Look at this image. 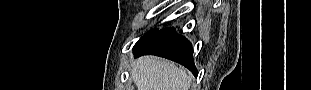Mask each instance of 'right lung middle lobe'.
Wrapping results in <instances>:
<instances>
[{"label": "right lung middle lobe", "mask_w": 311, "mask_h": 90, "mask_svg": "<svg viewBox=\"0 0 311 90\" xmlns=\"http://www.w3.org/2000/svg\"><path fill=\"white\" fill-rule=\"evenodd\" d=\"M156 30H157V29H155V30H150V31L147 32L140 40H142L143 38H145V37L148 36L149 34L155 32ZM140 40H139V41H140Z\"/></svg>", "instance_id": "right-lung-middle-lobe-1"}]
</instances>
